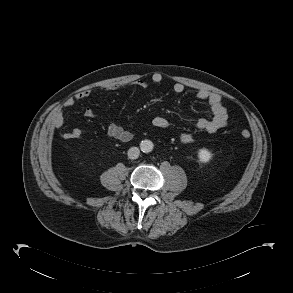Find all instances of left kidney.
<instances>
[{
  "instance_id": "5707ae66",
  "label": "left kidney",
  "mask_w": 293,
  "mask_h": 293,
  "mask_svg": "<svg viewBox=\"0 0 293 293\" xmlns=\"http://www.w3.org/2000/svg\"><path fill=\"white\" fill-rule=\"evenodd\" d=\"M212 153L206 149V148H201L198 151V158L200 160V162L202 163H207L212 159Z\"/></svg>"
}]
</instances>
